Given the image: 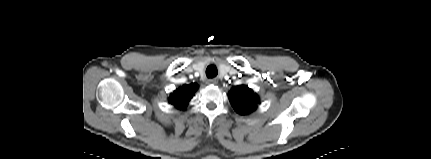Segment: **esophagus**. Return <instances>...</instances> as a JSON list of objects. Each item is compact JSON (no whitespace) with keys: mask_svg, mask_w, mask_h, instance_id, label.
Here are the masks:
<instances>
[{"mask_svg":"<svg viewBox=\"0 0 431 159\" xmlns=\"http://www.w3.org/2000/svg\"><path fill=\"white\" fill-rule=\"evenodd\" d=\"M207 83L215 85V84H217V80L216 79H208Z\"/></svg>","mask_w":431,"mask_h":159,"instance_id":"esophagus-1","label":"esophagus"}]
</instances>
